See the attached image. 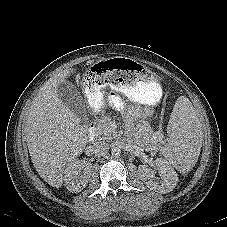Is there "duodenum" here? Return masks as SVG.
<instances>
[{
    "instance_id": "duodenum-1",
    "label": "duodenum",
    "mask_w": 227,
    "mask_h": 227,
    "mask_svg": "<svg viewBox=\"0 0 227 227\" xmlns=\"http://www.w3.org/2000/svg\"><path fill=\"white\" fill-rule=\"evenodd\" d=\"M86 135H87L88 141L92 142V141L95 140V138H96V125H95L94 122H91L88 125Z\"/></svg>"
}]
</instances>
